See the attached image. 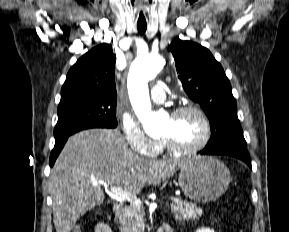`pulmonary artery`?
<instances>
[{
	"instance_id": "e3ab8cb5",
	"label": "pulmonary artery",
	"mask_w": 289,
	"mask_h": 232,
	"mask_svg": "<svg viewBox=\"0 0 289 232\" xmlns=\"http://www.w3.org/2000/svg\"><path fill=\"white\" fill-rule=\"evenodd\" d=\"M150 97L151 100L155 103L158 104L163 103L166 98V94L163 87L161 85L153 86L150 92Z\"/></svg>"
}]
</instances>
